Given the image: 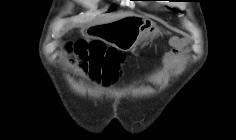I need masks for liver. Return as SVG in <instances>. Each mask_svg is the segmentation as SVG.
Masks as SVG:
<instances>
[{
    "label": "liver",
    "instance_id": "obj_1",
    "mask_svg": "<svg viewBox=\"0 0 236 140\" xmlns=\"http://www.w3.org/2000/svg\"><path fill=\"white\" fill-rule=\"evenodd\" d=\"M128 15H130V14H114V15L109 16L105 20V22H112V21H115L117 19L123 18V17L128 16Z\"/></svg>",
    "mask_w": 236,
    "mask_h": 140
}]
</instances>
